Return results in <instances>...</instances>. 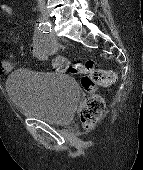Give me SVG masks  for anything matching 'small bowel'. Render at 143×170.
<instances>
[{"mask_svg": "<svg viewBox=\"0 0 143 170\" xmlns=\"http://www.w3.org/2000/svg\"><path fill=\"white\" fill-rule=\"evenodd\" d=\"M3 13L11 17H19L20 15L10 7L1 6L0 7V18ZM30 51L39 59H47L49 57V52L47 50L41 49L36 43L30 45ZM53 67L57 69V59L53 61ZM12 70L11 62L7 60H0V75L9 73Z\"/></svg>", "mask_w": 143, "mask_h": 170, "instance_id": "1", "label": "small bowel"}]
</instances>
